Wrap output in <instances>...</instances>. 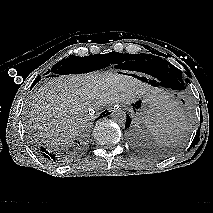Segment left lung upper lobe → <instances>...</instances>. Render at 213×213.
I'll return each instance as SVG.
<instances>
[{
	"label": "left lung upper lobe",
	"instance_id": "obj_1",
	"mask_svg": "<svg viewBox=\"0 0 213 213\" xmlns=\"http://www.w3.org/2000/svg\"><path fill=\"white\" fill-rule=\"evenodd\" d=\"M157 55L139 54L135 57L134 62L144 73L169 79L173 83L174 90L185 89V85L188 80L182 79V72Z\"/></svg>",
	"mask_w": 213,
	"mask_h": 213
}]
</instances>
